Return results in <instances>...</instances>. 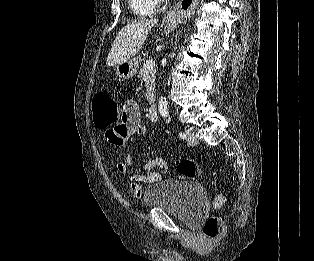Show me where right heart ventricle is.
Masks as SVG:
<instances>
[{"instance_id":"obj_1","label":"right heart ventricle","mask_w":314,"mask_h":261,"mask_svg":"<svg viewBox=\"0 0 314 261\" xmlns=\"http://www.w3.org/2000/svg\"><path fill=\"white\" fill-rule=\"evenodd\" d=\"M154 0H129V7L136 17H150L156 11Z\"/></svg>"}]
</instances>
